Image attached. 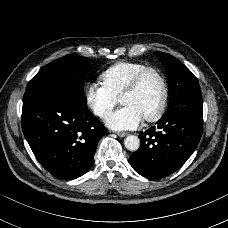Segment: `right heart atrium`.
Masks as SVG:
<instances>
[{
	"label": "right heart atrium",
	"mask_w": 228,
	"mask_h": 228,
	"mask_svg": "<svg viewBox=\"0 0 228 228\" xmlns=\"http://www.w3.org/2000/svg\"><path fill=\"white\" fill-rule=\"evenodd\" d=\"M85 102L97 117L103 118L116 106L118 99L95 81L86 86Z\"/></svg>",
	"instance_id": "right-heart-atrium-1"
}]
</instances>
